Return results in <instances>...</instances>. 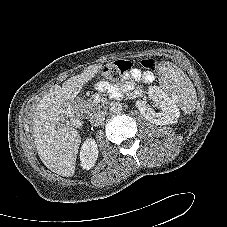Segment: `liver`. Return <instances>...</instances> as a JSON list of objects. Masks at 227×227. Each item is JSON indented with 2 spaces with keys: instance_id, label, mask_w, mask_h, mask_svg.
Wrapping results in <instances>:
<instances>
[{
  "instance_id": "obj_1",
  "label": "liver",
  "mask_w": 227,
  "mask_h": 227,
  "mask_svg": "<svg viewBox=\"0 0 227 227\" xmlns=\"http://www.w3.org/2000/svg\"><path fill=\"white\" fill-rule=\"evenodd\" d=\"M102 68V64L90 65L62 86H52L33 114L32 129L38 155L49 170L63 177H71L75 172L81 138L75 128L62 126L60 122L64 120L69 103Z\"/></svg>"
}]
</instances>
